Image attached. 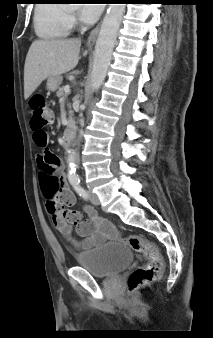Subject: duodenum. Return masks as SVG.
Instances as JSON below:
<instances>
[{
  "label": "duodenum",
  "instance_id": "1",
  "mask_svg": "<svg viewBox=\"0 0 213 338\" xmlns=\"http://www.w3.org/2000/svg\"><path fill=\"white\" fill-rule=\"evenodd\" d=\"M74 129H75L74 124L68 123L66 130H65V134H64V143L67 146H70L72 143Z\"/></svg>",
  "mask_w": 213,
  "mask_h": 338
}]
</instances>
